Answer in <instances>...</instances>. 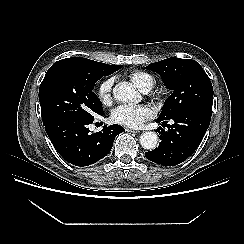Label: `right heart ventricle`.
I'll use <instances>...</instances> for the list:
<instances>
[{
    "mask_svg": "<svg viewBox=\"0 0 244 244\" xmlns=\"http://www.w3.org/2000/svg\"><path fill=\"white\" fill-rule=\"evenodd\" d=\"M130 81L141 91L151 89L154 85V78L142 71H133L129 74Z\"/></svg>",
    "mask_w": 244,
    "mask_h": 244,
    "instance_id": "e07e8e85",
    "label": "right heart ventricle"
}]
</instances>
